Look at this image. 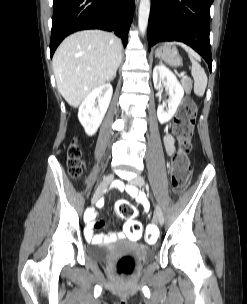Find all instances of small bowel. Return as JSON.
I'll use <instances>...</instances> for the list:
<instances>
[{"label": "small bowel", "mask_w": 247, "mask_h": 304, "mask_svg": "<svg viewBox=\"0 0 247 304\" xmlns=\"http://www.w3.org/2000/svg\"><path fill=\"white\" fill-rule=\"evenodd\" d=\"M164 144L167 153L169 155H173L176 151L175 140L168 132H165L164 134ZM126 191L130 194V196L136 198L138 203L143 207L145 211L149 209V202L144 193L139 192L138 190H136L134 187L131 186L127 187ZM102 226H103V222L93 219L91 224L85 230L86 239L93 243H102V242H112L115 241L116 239L125 238L126 236L129 237V235H125L124 232L118 234L113 232L107 234H96L95 230Z\"/></svg>", "instance_id": "small-bowel-1"}]
</instances>
